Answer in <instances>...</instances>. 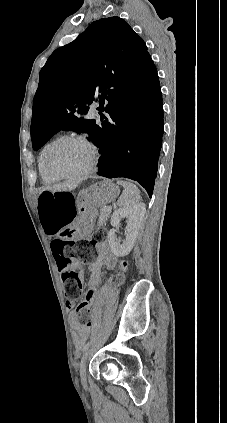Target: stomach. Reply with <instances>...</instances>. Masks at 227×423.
Returning a JSON list of instances; mask_svg holds the SVG:
<instances>
[{
    "label": "stomach",
    "mask_w": 227,
    "mask_h": 423,
    "mask_svg": "<svg viewBox=\"0 0 227 423\" xmlns=\"http://www.w3.org/2000/svg\"><path fill=\"white\" fill-rule=\"evenodd\" d=\"M119 194L118 186H114L111 180H104V182H96L89 188L81 190L76 200L77 210H95L99 206H106L110 202H114Z\"/></svg>",
    "instance_id": "stomach-1"
}]
</instances>
